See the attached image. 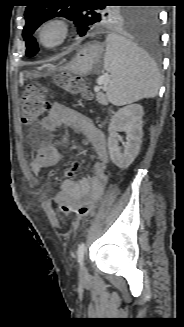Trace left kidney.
Returning a JSON list of instances; mask_svg holds the SVG:
<instances>
[{"instance_id":"obj_1","label":"left kidney","mask_w":184,"mask_h":327,"mask_svg":"<svg viewBox=\"0 0 184 327\" xmlns=\"http://www.w3.org/2000/svg\"><path fill=\"white\" fill-rule=\"evenodd\" d=\"M143 107L139 104H131L120 108L111 118L108 127V149L111 161L119 168H128L138 156L142 131ZM119 131L127 133V142L124 151L119 147Z\"/></svg>"}]
</instances>
